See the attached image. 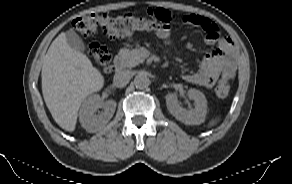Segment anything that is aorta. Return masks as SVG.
Listing matches in <instances>:
<instances>
[{
    "instance_id": "obj_1",
    "label": "aorta",
    "mask_w": 292,
    "mask_h": 184,
    "mask_svg": "<svg viewBox=\"0 0 292 184\" xmlns=\"http://www.w3.org/2000/svg\"><path fill=\"white\" fill-rule=\"evenodd\" d=\"M149 84L150 80L148 76L143 72L138 73L134 78V85L137 89H145L149 86Z\"/></svg>"
}]
</instances>
